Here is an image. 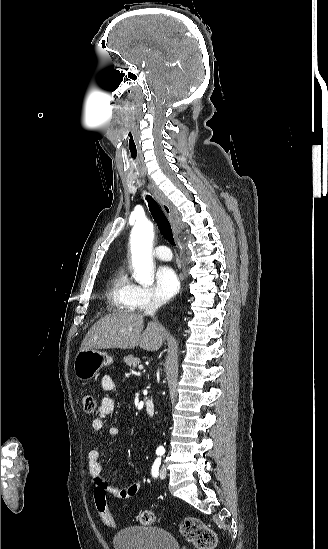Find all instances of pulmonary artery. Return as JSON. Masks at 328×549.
I'll list each match as a JSON object with an SVG mask.
<instances>
[{"mask_svg":"<svg viewBox=\"0 0 328 549\" xmlns=\"http://www.w3.org/2000/svg\"><path fill=\"white\" fill-rule=\"evenodd\" d=\"M153 253L155 257L160 260H169L171 258V254L166 246L155 247Z\"/></svg>","mask_w":328,"mask_h":549,"instance_id":"pulmonary-artery-1","label":"pulmonary artery"}]
</instances>
